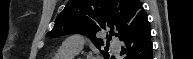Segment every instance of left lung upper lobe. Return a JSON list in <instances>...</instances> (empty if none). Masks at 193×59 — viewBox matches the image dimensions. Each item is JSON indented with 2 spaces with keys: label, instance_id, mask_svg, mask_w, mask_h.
Returning <instances> with one entry per match:
<instances>
[{
  "label": "left lung upper lobe",
  "instance_id": "obj_1",
  "mask_svg": "<svg viewBox=\"0 0 193 59\" xmlns=\"http://www.w3.org/2000/svg\"><path fill=\"white\" fill-rule=\"evenodd\" d=\"M143 11L139 0H70L46 35L59 37L79 33L88 36L100 50L104 41L96 38L97 32L112 31L107 37L109 45L112 35L121 39L134 18ZM101 53L107 58L105 52Z\"/></svg>",
  "mask_w": 193,
  "mask_h": 59
}]
</instances>
